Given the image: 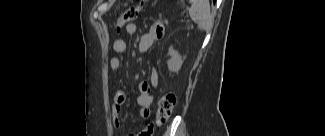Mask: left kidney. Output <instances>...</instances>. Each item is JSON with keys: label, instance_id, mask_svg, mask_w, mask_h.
<instances>
[{"label": "left kidney", "instance_id": "5707ae66", "mask_svg": "<svg viewBox=\"0 0 325 136\" xmlns=\"http://www.w3.org/2000/svg\"><path fill=\"white\" fill-rule=\"evenodd\" d=\"M168 54L170 55V59L167 61L168 69L171 72H179L183 64L181 55L172 46L169 48Z\"/></svg>", "mask_w": 325, "mask_h": 136}]
</instances>
